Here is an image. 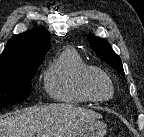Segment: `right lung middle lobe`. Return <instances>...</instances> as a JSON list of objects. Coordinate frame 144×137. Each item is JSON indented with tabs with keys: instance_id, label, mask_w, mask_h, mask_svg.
<instances>
[{
	"instance_id": "right-lung-middle-lobe-1",
	"label": "right lung middle lobe",
	"mask_w": 144,
	"mask_h": 137,
	"mask_svg": "<svg viewBox=\"0 0 144 137\" xmlns=\"http://www.w3.org/2000/svg\"><path fill=\"white\" fill-rule=\"evenodd\" d=\"M42 61L0 65V108L25 100Z\"/></svg>"
}]
</instances>
